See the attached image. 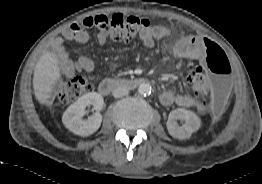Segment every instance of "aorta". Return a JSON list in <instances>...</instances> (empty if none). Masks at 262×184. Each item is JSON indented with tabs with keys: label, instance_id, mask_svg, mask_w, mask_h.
<instances>
[{
	"label": "aorta",
	"instance_id": "aorta-1",
	"mask_svg": "<svg viewBox=\"0 0 262 184\" xmlns=\"http://www.w3.org/2000/svg\"><path fill=\"white\" fill-rule=\"evenodd\" d=\"M138 92L141 95H148L151 93V85L149 83H141L138 87Z\"/></svg>",
	"mask_w": 262,
	"mask_h": 184
}]
</instances>
